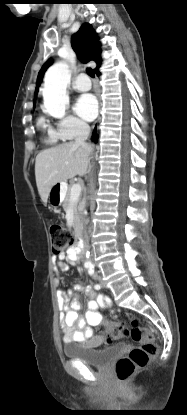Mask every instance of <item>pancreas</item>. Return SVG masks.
Returning <instances> with one entry per match:
<instances>
[{
	"label": "pancreas",
	"mask_w": 187,
	"mask_h": 415,
	"mask_svg": "<svg viewBox=\"0 0 187 415\" xmlns=\"http://www.w3.org/2000/svg\"><path fill=\"white\" fill-rule=\"evenodd\" d=\"M71 188H72V185H69L68 188H67L62 206H63V209L65 211L68 210L70 207H72L73 214H74L73 226L75 228L79 224V211H78V202H79V200L74 201V202L71 201V199H70L71 198Z\"/></svg>",
	"instance_id": "pancreas-1"
}]
</instances>
